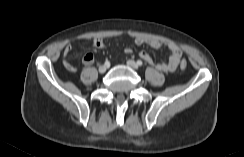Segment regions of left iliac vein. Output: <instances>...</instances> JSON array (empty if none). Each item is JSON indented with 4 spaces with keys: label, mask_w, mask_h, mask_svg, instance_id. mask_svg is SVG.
I'll list each match as a JSON object with an SVG mask.
<instances>
[{
    "label": "left iliac vein",
    "mask_w": 244,
    "mask_h": 157,
    "mask_svg": "<svg viewBox=\"0 0 244 157\" xmlns=\"http://www.w3.org/2000/svg\"><path fill=\"white\" fill-rule=\"evenodd\" d=\"M127 65L129 67H131L132 69H134V70H137L138 69L137 63L135 61H133V60H128L127 61Z\"/></svg>",
    "instance_id": "4c4485c4"
}]
</instances>
